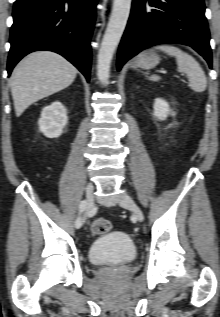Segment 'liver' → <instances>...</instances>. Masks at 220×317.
Returning <instances> with one entry per match:
<instances>
[{"label": "liver", "instance_id": "1", "mask_svg": "<svg viewBox=\"0 0 220 317\" xmlns=\"http://www.w3.org/2000/svg\"><path fill=\"white\" fill-rule=\"evenodd\" d=\"M77 69L61 55L37 51L14 68L10 86L17 117L33 103L57 93L73 83Z\"/></svg>", "mask_w": 220, "mask_h": 317}]
</instances>
